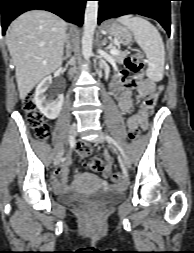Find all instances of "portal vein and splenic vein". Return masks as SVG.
Segmentation results:
<instances>
[{"mask_svg":"<svg viewBox=\"0 0 194 253\" xmlns=\"http://www.w3.org/2000/svg\"><path fill=\"white\" fill-rule=\"evenodd\" d=\"M110 53H111L112 55H118L120 52H119V50L113 48V49L110 50Z\"/></svg>","mask_w":194,"mask_h":253,"instance_id":"18ae733b","label":"portal vein and splenic vein"}]
</instances>
